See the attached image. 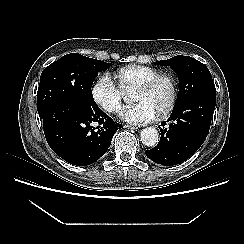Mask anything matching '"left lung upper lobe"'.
I'll return each mask as SVG.
<instances>
[{
    "label": "left lung upper lobe",
    "instance_id": "5c2ea615",
    "mask_svg": "<svg viewBox=\"0 0 244 244\" xmlns=\"http://www.w3.org/2000/svg\"><path fill=\"white\" fill-rule=\"evenodd\" d=\"M156 63L162 66H170L179 76L180 88L175 106L198 95L216 94L215 85L208 68L198 60L178 55Z\"/></svg>",
    "mask_w": 244,
    "mask_h": 244
}]
</instances>
